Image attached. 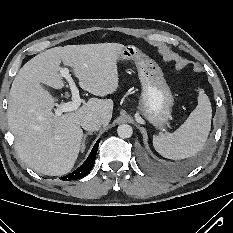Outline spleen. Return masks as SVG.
<instances>
[{"label":"spleen","mask_w":233,"mask_h":233,"mask_svg":"<svg viewBox=\"0 0 233 233\" xmlns=\"http://www.w3.org/2000/svg\"><path fill=\"white\" fill-rule=\"evenodd\" d=\"M212 108L203 89L199 90L198 105L187 120L173 133H160L153 139L155 150L165 158L180 160L194 156L207 141Z\"/></svg>","instance_id":"obj_1"}]
</instances>
